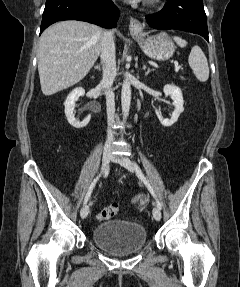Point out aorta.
Wrapping results in <instances>:
<instances>
[{"instance_id": "obj_1", "label": "aorta", "mask_w": 240, "mask_h": 287, "mask_svg": "<svg viewBox=\"0 0 240 287\" xmlns=\"http://www.w3.org/2000/svg\"><path fill=\"white\" fill-rule=\"evenodd\" d=\"M130 103H131V85L130 82L126 79L123 82L121 91V106L124 119H126L127 116L129 115Z\"/></svg>"}]
</instances>
